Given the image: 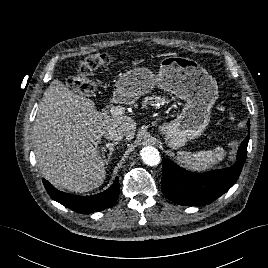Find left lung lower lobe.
Segmentation results:
<instances>
[{"label": "left lung lower lobe", "instance_id": "1", "mask_svg": "<svg viewBox=\"0 0 268 268\" xmlns=\"http://www.w3.org/2000/svg\"><path fill=\"white\" fill-rule=\"evenodd\" d=\"M250 128V121L247 123ZM249 136L238 149L236 163L206 173H194L180 168L171 160L163 159L161 189L176 204L184 206L207 205L227 192L238 179L247 155Z\"/></svg>", "mask_w": 268, "mask_h": 268}]
</instances>
